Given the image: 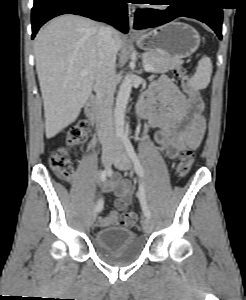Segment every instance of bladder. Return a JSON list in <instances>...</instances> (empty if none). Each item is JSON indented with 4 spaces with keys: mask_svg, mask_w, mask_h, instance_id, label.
<instances>
[{
    "mask_svg": "<svg viewBox=\"0 0 246 300\" xmlns=\"http://www.w3.org/2000/svg\"><path fill=\"white\" fill-rule=\"evenodd\" d=\"M95 246L109 259L119 262L134 260L142 253V243L135 232L122 226L97 231Z\"/></svg>",
    "mask_w": 246,
    "mask_h": 300,
    "instance_id": "31cf9c89",
    "label": "bladder"
}]
</instances>
